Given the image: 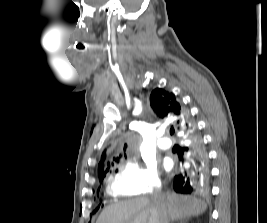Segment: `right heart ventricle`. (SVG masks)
Returning <instances> with one entry per match:
<instances>
[{"label":"right heart ventricle","mask_w":267,"mask_h":223,"mask_svg":"<svg viewBox=\"0 0 267 223\" xmlns=\"http://www.w3.org/2000/svg\"><path fill=\"white\" fill-rule=\"evenodd\" d=\"M110 192L112 193V194H117L113 189H112V187H111V190H110Z\"/></svg>","instance_id":"e07e8e85"}]
</instances>
